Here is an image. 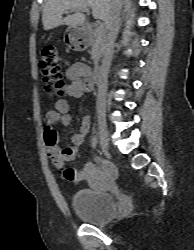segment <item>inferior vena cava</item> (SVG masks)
<instances>
[{
  "instance_id": "inferior-vena-cava-1",
  "label": "inferior vena cava",
  "mask_w": 194,
  "mask_h": 250,
  "mask_svg": "<svg viewBox=\"0 0 194 250\" xmlns=\"http://www.w3.org/2000/svg\"><path fill=\"white\" fill-rule=\"evenodd\" d=\"M120 10V0H114L110 16L106 25L107 36L105 39L104 54L98 78L96 110L97 118L99 121H103L105 119L108 73L113 56L114 43L120 27Z\"/></svg>"
}]
</instances>
